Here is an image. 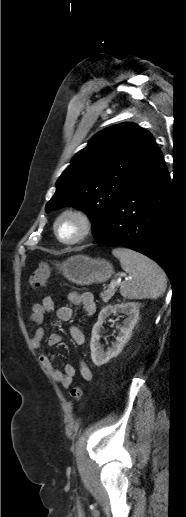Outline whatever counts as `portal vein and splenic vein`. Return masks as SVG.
I'll list each match as a JSON object with an SVG mask.
<instances>
[{"label": "portal vein and splenic vein", "mask_w": 186, "mask_h": 517, "mask_svg": "<svg viewBox=\"0 0 186 517\" xmlns=\"http://www.w3.org/2000/svg\"><path fill=\"white\" fill-rule=\"evenodd\" d=\"M121 276H124V274H121L119 278H117L116 280H112L110 282V285H109V289H114L116 287V285L121 282Z\"/></svg>", "instance_id": "portal-vein-and-splenic-vein-1"}]
</instances>
